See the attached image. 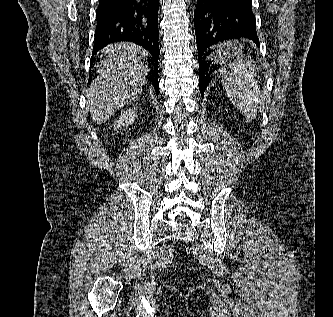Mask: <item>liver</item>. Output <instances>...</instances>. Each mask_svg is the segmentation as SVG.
I'll return each mask as SVG.
<instances>
[{
	"mask_svg": "<svg viewBox=\"0 0 333 317\" xmlns=\"http://www.w3.org/2000/svg\"><path fill=\"white\" fill-rule=\"evenodd\" d=\"M147 55L142 47L128 42L103 50V60L97 65L99 75L86 92L91 117L98 125L141 93L148 70L142 58Z\"/></svg>",
	"mask_w": 333,
	"mask_h": 317,
	"instance_id": "6515ba94",
	"label": "liver"
}]
</instances>
